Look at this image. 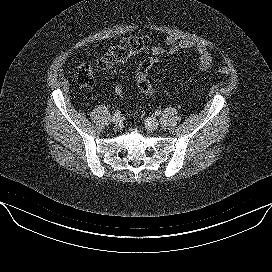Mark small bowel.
I'll use <instances>...</instances> for the list:
<instances>
[{"mask_svg": "<svg viewBox=\"0 0 272 272\" xmlns=\"http://www.w3.org/2000/svg\"><path fill=\"white\" fill-rule=\"evenodd\" d=\"M126 39L118 45H124L128 42ZM154 56L175 55L181 50H194L198 56V65L201 70H208L213 64V59L209 51L204 45L196 44L192 40L179 39L175 35L165 38L163 43L149 42L148 46Z\"/></svg>", "mask_w": 272, "mask_h": 272, "instance_id": "small-bowel-1", "label": "small bowel"}]
</instances>
